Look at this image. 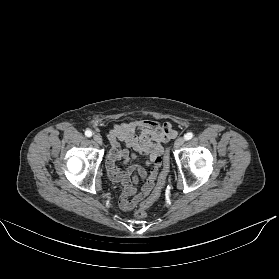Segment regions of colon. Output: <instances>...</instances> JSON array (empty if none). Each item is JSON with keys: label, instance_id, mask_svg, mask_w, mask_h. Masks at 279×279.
<instances>
[{"label": "colon", "instance_id": "obj_1", "mask_svg": "<svg viewBox=\"0 0 279 279\" xmlns=\"http://www.w3.org/2000/svg\"><path fill=\"white\" fill-rule=\"evenodd\" d=\"M169 171V153L166 152L163 157V168L158 178V181L151 193V195L140 205L136 210L135 216L137 218H145L147 216V209L158 199L164 187L166 177Z\"/></svg>", "mask_w": 279, "mask_h": 279}]
</instances>
